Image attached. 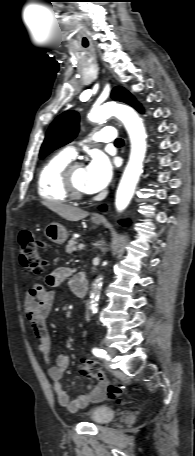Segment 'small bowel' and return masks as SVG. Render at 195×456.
I'll return each mask as SVG.
<instances>
[{
	"label": "small bowel",
	"mask_w": 195,
	"mask_h": 456,
	"mask_svg": "<svg viewBox=\"0 0 195 456\" xmlns=\"http://www.w3.org/2000/svg\"><path fill=\"white\" fill-rule=\"evenodd\" d=\"M69 275L70 271L68 268H57L46 276V284L52 288L58 287ZM55 296L56 291L54 289L48 290L42 285H33L25 294L24 307L38 341V351L44 361L49 365L48 375L52 380L58 403L74 411L91 402L103 399L106 396V385L99 383L96 386H88L86 392L77 395L73 399H70L64 391L62 378L69 366V358L67 355L61 354L56 358L55 364H51L50 336L47 327V317Z\"/></svg>",
	"instance_id": "small-bowel-1"
}]
</instances>
